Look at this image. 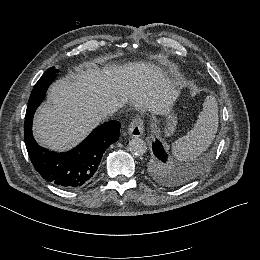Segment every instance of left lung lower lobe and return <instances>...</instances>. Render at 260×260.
Returning <instances> with one entry per match:
<instances>
[{"label": "left lung lower lobe", "mask_w": 260, "mask_h": 260, "mask_svg": "<svg viewBox=\"0 0 260 260\" xmlns=\"http://www.w3.org/2000/svg\"><path fill=\"white\" fill-rule=\"evenodd\" d=\"M152 149H153V153L157 158L160 159H167L168 155L166 154L165 150L163 149L162 144L156 140V142H154L152 144Z\"/></svg>", "instance_id": "0a47b994"}]
</instances>
